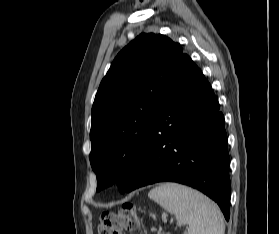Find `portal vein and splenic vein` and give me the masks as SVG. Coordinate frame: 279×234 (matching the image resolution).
<instances>
[{
    "label": "portal vein and splenic vein",
    "mask_w": 279,
    "mask_h": 234,
    "mask_svg": "<svg viewBox=\"0 0 279 234\" xmlns=\"http://www.w3.org/2000/svg\"><path fill=\"white\" fill-rule=\"evenodd\" d=\"M155 230H156V228H155V227H152V228H151V231H155Z\"/></svg>",
    "instance_id": "portal-vein-and-splenic-vein-1"
}]
</instances>
